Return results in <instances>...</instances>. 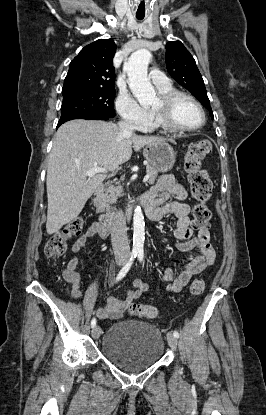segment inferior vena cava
<instances>
[{
  "instance_id": "602c4592",
  "label": "inferior vena cava",
  "mask_w": 266,
  "mask_h": 415,
  "mask_svg": "<svg viewBox=\"0 0 266 415\" xmlns=\"http://www.w3.org/2000/svg\"><path fill=\"white\" fill-rule=\"evenodd\" d=\"M118 127L122 136L133 134L134 126L129 121L123 120L118 122ZM111 242L116 258H128L130 256L126 218L122 211H118L115 214L111 229Z\"/></svg>"
}]
</instances>
